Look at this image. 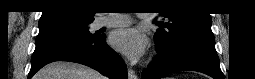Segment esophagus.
Listing matches in <instances>:
<instances>
[{
    "label": "esophagus",
    "instance_id": "34e87169",
    "mask_svg": "<svg viewBox=\"0 0 255 79\" xmlns=\"http://www.w3.org/2000/svg\"><path fill=\"white\" fill-rule=\"evenodd\" d=\"M128 77H129V79H137L136 73L131 68L128 69Z\"/></svg>",
    "mask_w": 255,
    "mask_h": 79
}]
</instances>
